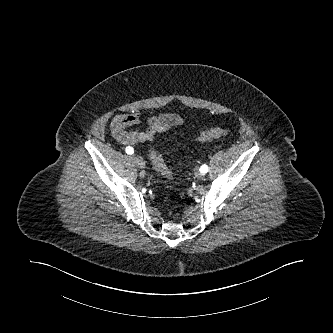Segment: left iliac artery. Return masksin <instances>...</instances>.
I'll return each mask as SVG.
<instances>
[{
	"label": "left iliac artery",
	"instance_id": "44dca946",
	"mask_svg": "<svg viewBox=\"0 0 333 333\" xmlns=\"http://www.w3.org/2000/svg\"><path fill=\"white\" fill-rule=\"evenodd\" d=\"M208 170H209V168H208V166L205 165V164L202 165V166L200 167V171H201L202 173H207Z\"/></svg>",
	"mask_w": 333,
	"mask_h": 333
}]
</instances>
